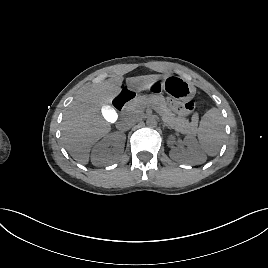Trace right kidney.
<instances>
[{
	"instance_id": "ca27d5eb",
	"label": "right kidney",
	"mask_w": 268,
	"mask_h": 268,
	"mask_svg": "<svg viewBox=\"0 0 268 268\" xmlns=\"http://www.w3.org/2000/svg\"><path fill=\"white\" fill-rule=\"evenodd\" d=\"M126 136L122 133H112L98 142L91 153V162L95 166H105L115 163L124 151Z\"/></svg>"
}]
</instances>
